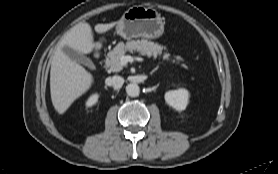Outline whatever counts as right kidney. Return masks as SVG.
<instances>
[{
    "label": "right kidney",
    "instance_id": "1",
    "mask_svg": "<svg viewBox=\"0 0 278 174\" xmlns=\"http://www.w3.org/2000/svg\"><path fill=\"white\" fill-rule=\"evenodd\" d=\"M99 95L98 94H93L91 95L88 100L86 101V106L87 107H91L93 105H95L98 101Z\"/></svg>",
    "mask_w": 278,
    "mask_h": 174
}]
</instances>
